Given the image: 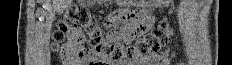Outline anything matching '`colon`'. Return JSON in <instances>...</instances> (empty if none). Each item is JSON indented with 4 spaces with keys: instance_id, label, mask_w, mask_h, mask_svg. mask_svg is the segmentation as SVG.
I'll return each mask as SVG.
<instances>
[{
    "instance_id": "1",
    "label": "colon",
    "mask_w": 232,
    "mask_h": 65,
    "mask_svg": "<svg viewBox=\"0 0 232 65\" xmlns=\"http://www.w3.org/2000/svg\"><path fill=\"white\" fill-rule=\"evenodd\" d=\"M68 29L83 30L89 38V47H83V36L76 52L77 57L85 60L87 65H105L122 61L135 62L158 52L168 42L171 34L168 22L162 20L147 34V37H140L136 45L124 46L117 37H104L98 21L87 8L72 5L57 23L53 33L54 49H59ZM63 54L62 48V57Z\"/></svg>"
}]
</instances>
